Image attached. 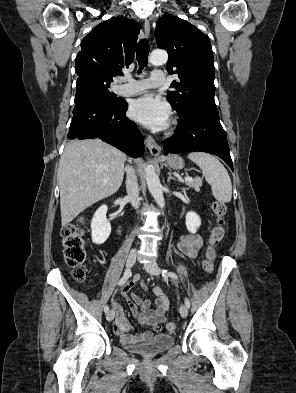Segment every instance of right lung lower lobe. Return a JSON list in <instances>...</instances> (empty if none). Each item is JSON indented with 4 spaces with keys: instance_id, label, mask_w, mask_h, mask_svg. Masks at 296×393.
I'll list each match as a JSON object with an SVG mask.
<instances>
[{
    "instance_id": "obj_1",
    "label": "right lung lower lobe",
    "mask_w": 296,
    "mask_h": 393,
    "mask_svg": "<svg viewBox=\"0 0 296 393\" xmlns=\"http://www.w3.org/2000/svg\"><path fill=\"white\" fill-rule=\"evenodd\" d=\"M76 88L75 108L67 137L100 138L131 157L142 156L145 149L143 138L135 123L125 116L127 103H109L82 77H78Z\"/></svg>"
}]
</instances>
